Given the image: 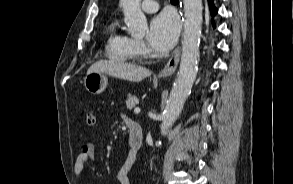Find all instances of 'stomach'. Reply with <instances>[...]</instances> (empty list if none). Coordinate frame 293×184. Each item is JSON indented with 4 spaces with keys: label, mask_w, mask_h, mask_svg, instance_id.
<instances>
[{
    "label": "stomach",
    "mask_w": 293,
    "mask_h": 184,
    "mask_svg": "<svg viewBox=\"0 0 293 184\" xmlns=\"http://www.w3.org/2000/svg\"><path fill=\"white\" fill-rule=\"evenodd\" d=\"M108 84V79L104 73H88L84 78V86L91 94L102 93Z\"/></svg>",
    "instance_id": "1"
}]
</instances>
